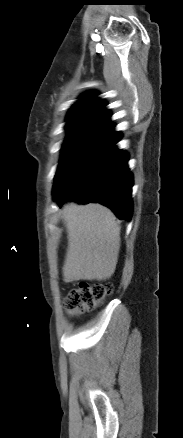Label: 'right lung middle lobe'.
Segmentation results:
<instances>
[{"label": "right lung middle lobe", "mask_w": 183, "mask_h": 438, "mask_svg": "<svg viewBox=\"0 0 183 438\" xmlns=\"http://www.w3.org/2000/svg\"><path fill=\"white\" fill-rule=\"evenodd\" d=\"M97 130H71L62 147V157L55 178L63 171L78 152L95 136Z\"/></svg>", "instance_id": "obj_1"}]
</instances>
